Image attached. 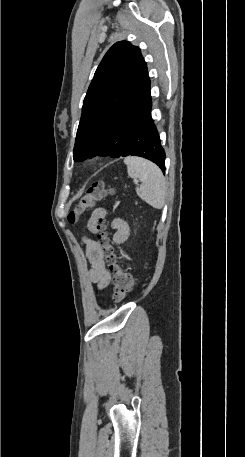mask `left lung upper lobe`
Masks as SVG:
<instances>
[{
  "label": "left lung upper lobe",
  "instance_id": "obj_1",
  "mask_svg": "<svg viewBox=\"0 0 245 457\" xmlns=\"http://www.w3.org/2000/svg\"><path fill=\"white\" fill-rule=\"evenodd\" d=\"M150 85L140 49L127 41L114 44L99 64L85 96L74 160L83 140L106 127L118 114L141 108L150 97Z\"/></svg>",
  "mask_w": 245,
  "mask_h": 457
}]
</instances>
